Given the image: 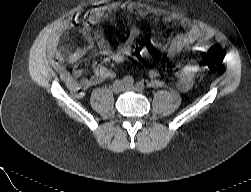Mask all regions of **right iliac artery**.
Listing matches in <instances>:
<instances>
[{
	"label": "right iliac artery",
	"mask_w": 251,
	"mask_h": 192,
	"mask_svg": "<svg viewBox=\"0 0 251 192\" xmlns=\"http://www.w3.org/2000/svg\"><path fill=\"white\" fill-rule=\"evenodd\" d=\"M123 82L125 85H132L134 83V79L131 76H125L123 78Z\"/></svg>",
	"instance_id": "82829eb1"
}]
</instances>
